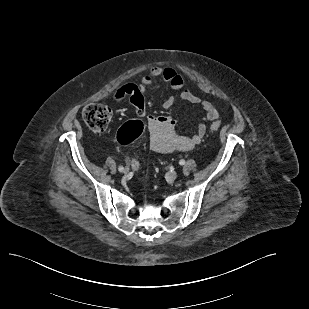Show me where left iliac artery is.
Masks as SVG:
<instances>
[{
    "label": "left iliac artery",
    "mask_w": 309,
    "mask_h": 309,
    "mask_svg": "<svg viewBox=\"0 0 309 309\" xmlns=\"http://www.w3.org/2000/svg\"><path fill=\"white\" fill-rule=\"evenodd\" d=\"M179 164H180V165H185V160H183V159L180 160V161H179Z\"/></svg>",
    "instance_id": "left-iliac-artery-1"
}]
</instances>
